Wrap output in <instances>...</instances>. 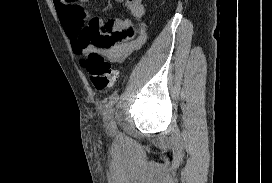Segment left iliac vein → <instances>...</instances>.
I'll use <instances>...</instances> for the list:
<instances>
[{"instance_id": "left-iliac-vein-1", "label": "left iliac vein", "mask_w": 272, "mask_h": 183, "mask_svg": "<svg viewBox=\"0 0 272 183\" xmlns=\"http://www.w3.org/2000/svg\"><path fill=\"white\" fill-rule=\"evenodd\" d=\"M115 111L111 105H108L104 114V120L107 126V129L111 132L116 130V121H115Z\"/></svg>"}]
</instances>
